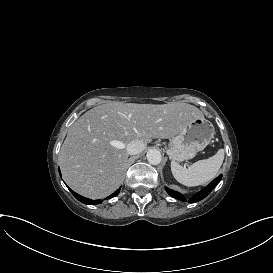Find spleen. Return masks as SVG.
Segmentation results:
<instances>
[{
    "mask_svg": "<svg viewBox=\"0 0 273 273\" xmlns=\"http://www.w3.org/2000/svg\"><path fill=\"white\" fill-rule=\"evenodd\" d=\"M225 157L223 148L208 159L194 163L190 169L182 167L175 161L171 162V170L175 179L187 187H197L215 178L221 168Z\"/></svg>",
    "mask_w": 273,
    "mask_h": 273,
    "instance_id": "spleen-1",
    "label": "spleen"
}]
</instances>
